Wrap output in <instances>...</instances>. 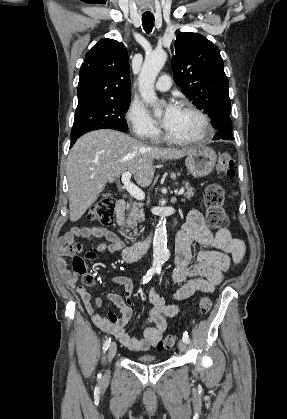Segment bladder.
I'll return each mask as SVG.
<instances>
[{"instance_id":"31cf9c89","label":"bladder","mask_w":287,"mask_h":419,"mask_svg":"<svg viewBox=\"0 0 287 419\" xmlns=\"http://www.w3.org/2000/svg\"><path fill=\"white\" fill-rule=\"evenodd\" d=\"M138 361L144 362V363H153L156 361V358L149 355H143L138 357Z\"/></svg>"}]
</instances>
